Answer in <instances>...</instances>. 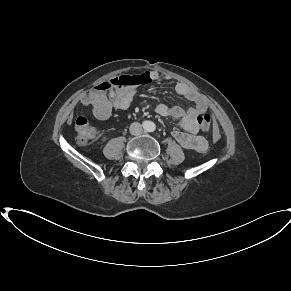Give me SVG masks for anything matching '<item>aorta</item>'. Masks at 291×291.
Wrapping results in <instances>:
<instances>
[{"label": "aorta", "instance_id": "762f6f07", "mask_svg": "<svg viewBox=\"0 0 291 291\" xmlns=\"http://www.w3.org/2000/svg\"><path fill=\"white\" fill-rule=\"evenodd\" d=\"M156 129V125L153 122H148L147 126H146V130L148 132H153Z\"/></svg>", "mask_w": 291, "mask_h": 291}]
</instances>
